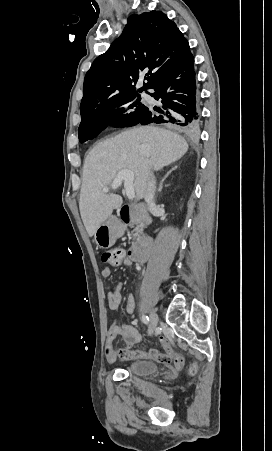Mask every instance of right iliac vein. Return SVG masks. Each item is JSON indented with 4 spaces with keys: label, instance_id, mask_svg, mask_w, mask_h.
<instances>
[{
    "label": "right iliac vein",
    "instance_id": "right-iliac-vein-1",
    "mask_svg": "<svg viewBox=\"0 0 272 451\" xmlns=\"http://www.w3.org/2000/svg\"><path fill=\"white\" fill-rule=\"evenodd\" d=\"M157 322H158V315L157 313L152 310L150 312V325H149V334L152 335L156 329L157 326Z\"/></svg>",
    "mask_w": 272,
    "mask_h": 451
}]
</instances>
